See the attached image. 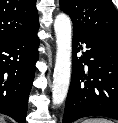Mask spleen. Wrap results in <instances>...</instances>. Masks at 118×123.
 I'll use <instances>...</instances> for the list:
<instances>
[{
	"label": "spleen",
	"mask_w": 118,
	"mask_h": 123,
	"mask_svg": "<svg viewBox=\"0 0 118 123\" xmlns=\"http://www.w3.org/2000/svg\"><path fill=\"white\" fill-rule=\"evenodd\" d=\"M82 123H112V122L104 118H90L84 120Z\"/></svg>",
	"instance_id": "3e777b00"
}]
</instances>
